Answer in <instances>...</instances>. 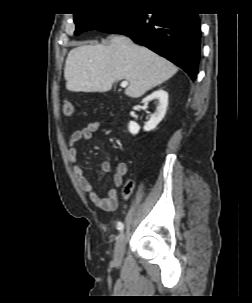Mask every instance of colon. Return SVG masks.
Here are the masks:
<instances>
[{
	"label": "colon",
	"mask_w": 252,
	"mask_h": 303,
	"mask_svg": "<svg viewBox=\"0 0 252 303\" xmlns=\"http://www.w3.org/2000/svg\"><path fill=\"white\" fill-rule=\"evenodd\" d=\"M62 112L65 116L74 115V112H75L74 103L71 99L66 98L63 100ZM132 188H133V183L131 181L127 182L124 187V191H123L124 198L129 197V195L132 191Z\"/></svg>",
	"instance_id": "colon-1"
}]
</instances>
